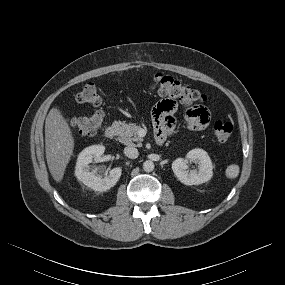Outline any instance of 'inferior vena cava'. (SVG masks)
Returning a JSON list of instances; mask_svg holds the SVG:
<instances>
[{
    "label": "inferior vena cava",
    "instance_id": "inferior-vena-cava-1",
    "mask_svg": "<svg viewBox=\"0 0 285 285\" xmlns=\"http://www.w3.org/2000/svg\"><path fill=\"white\" fill-rule=\"evenodd\" d=\"M124 154L130 159H136L139 155V152L135 147L128 146L124 148Z\"/></svg>",
    "mask_w": 285,
    "mask_h": 285
}]
</instances>
